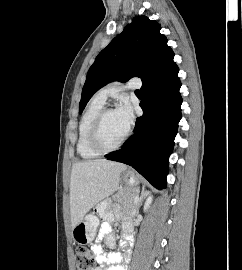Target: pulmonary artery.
Segmentation results:
<instances>
[{"label": "pulmonary artery", "mask_w": 242, "mask_h": 270, "mask_svg": "<svg viewBox=\"0 0 242 270\" xmlns=\"http://www.w3.org/2000/svg\"><path fill=\"white\" fill-rule=\"evenodd\" d=\"M140 87L141 82L136 78L130 79L124 86H121L119 83L114 82L99 90L95 95V99L105 103L109 96L116 94L123 88L139 89Z\"/></svg>", "instance_id": "obj_1"}]
</instances>
